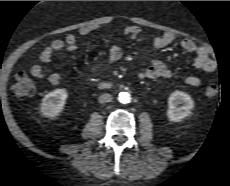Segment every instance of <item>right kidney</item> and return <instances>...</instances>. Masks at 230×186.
<instances>
[{"label":"right kidney","mask_w":230,"mask_h":186,"mask_svg":"<svg viewBox=\"0 0 230 186\" xmlns=\"http://www.w3.org/2000/svg\"><path fill=\"white\" fill-rule=\"evenodd\" d=\"M67 96L65 89H56L45 95L41 103L42 115L48 118L58 116L66 103Z\"/></svg>","instance_id":"1"}]
</instances>
